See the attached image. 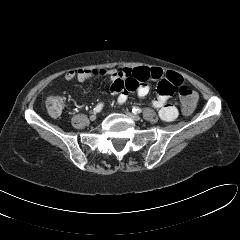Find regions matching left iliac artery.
Instances as JSON below:
<instances>
[{
  "label": "left iliac artery",
  "instance_id": "left-iliac-artery-1",
  "mask_svg": "<svg viewBox=\"0 0 240 240\" xmlns=\"http://www.w3.org/2000/svg\"><path fill=\"white\" fill-rule=\"evenodd\" d=\"M132 112H133L134 114H139V113L142 112V109H141V108H133V109H132Z\"/></svg>",
  "mask_w": 240,
  "mask_h": 240
}]
</instances>
